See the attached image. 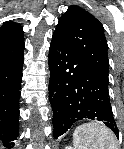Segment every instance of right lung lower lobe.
Here are the masks:
<instances>
[{
  "label": "right lung lower lobe",
  "instance_id": "right-lung-lower-lobe-1",
  "mask_svg": "<svg viewBox=\"0 0 124 149\" xmlns=\"http://www.w3.org/2000/svg\"><path fill=\"white\" fill-rule=\"evenodd\" d=\"M24 39L0 44V140L12 148L18 137Z\"/></svg>",
  "mask_w": 124,
  "mask_h": 149
}]
</instances>
